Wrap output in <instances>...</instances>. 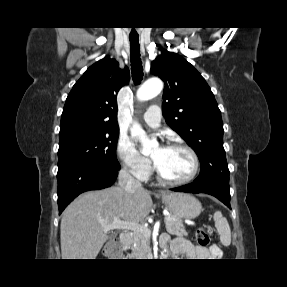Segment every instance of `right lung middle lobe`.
I'll return each mask as SVG.
<instances>
[{
	"label": "right lung middle lobe",
	"mask_w": 287,
	"mask_h": 287,
	"mask_svg": "<svg viewBox=\"0 0 287 287\" xmlns=\"http://www.w3.org/2000/svg\"><path fill=\"white\" fill-rule=\"evenodd\" d=\"M118 136L119 128L90 124H74L60 129L58 171L78 164L119 170L116 158Z\"/></svg>",
	"instance_id": "1"
}]
</instances>
